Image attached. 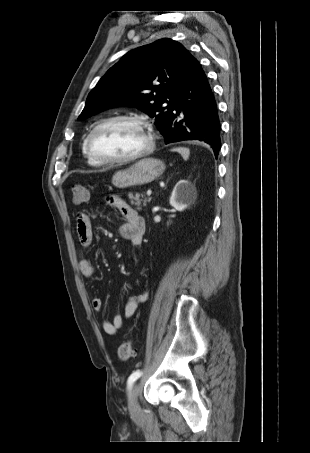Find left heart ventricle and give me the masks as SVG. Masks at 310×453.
Returning a JSON list of instances; mask_svg holds the SVG:
<instances>
[{
	"instance_id": "b2bd125f",
	"label": "left heart ventricle",
	"mask_w": 310,
	"mask_h": 453,
	"mask_svg": "<svg viewBox=\"0 0 310 453\" xmlns=\"http://www.w3.org/2000/svg\"><path fill=\"white\" fill-rule=\"evenodd\" d=\"M147 144L145 132L137 125L119 121L104 126L93 137V148L101 156L123 158Z\"/></svg>"
}]
</instances>
